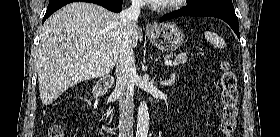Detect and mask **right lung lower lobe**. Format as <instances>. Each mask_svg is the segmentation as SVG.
Segmentation results:
<instances>
[{"label": "right lung lower lobe", "mask_w": 280, "mask_h": 137, "mask_svg": "<svg viewBox=\"0 0 280 137\" xmlns=\"http://www.w3.org/2000/svg\"><path fill=\"white\" fill-rule=\"evenodd\" d=\"M75 1L91 2V3L101 5L110 11L120 12L122 8L123 0H50L45 16L43 17V22L59 8L63 7L68 3L75 2Z\"/></svg>", "instance_id": "1"}]
</instances>
